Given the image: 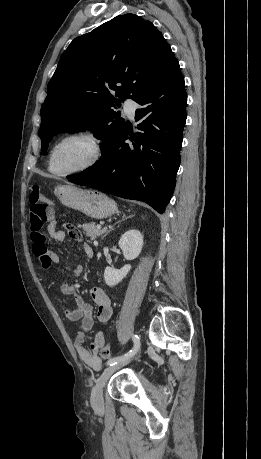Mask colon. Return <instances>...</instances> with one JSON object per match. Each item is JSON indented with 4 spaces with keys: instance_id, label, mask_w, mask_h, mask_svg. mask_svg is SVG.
<instances>
[{
    "instance_id": "obj_1",
    "label": "colon",
    "mask_w": 261,
    "mask_h": 459,
    "mask_svg": "<svg viewBox=\"0 0 261 459\" xmlns=\"http://www.w3.org/2000/svg\"><path fill=\"white\" fill-rule=\"evenodd\" d=\"M29 201L31 204V219L28 221L30 225L29 231L31 234H34L36 238H43L45 232L41 228L45 223L54 219V204L41 192L39 185H34L32 187ZM65 228L72 237H80L81 234L75 227L65 225ZM100 355L104 360L111 358L112 351L110 344L107 343L102 346Z\"/></svg>"
}]
</instances>
